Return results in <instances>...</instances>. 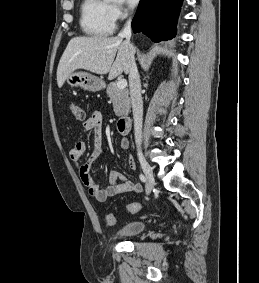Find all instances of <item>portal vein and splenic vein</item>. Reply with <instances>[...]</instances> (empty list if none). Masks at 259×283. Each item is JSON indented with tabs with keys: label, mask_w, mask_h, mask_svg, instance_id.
<instances>
[{
	"label": "portal vein and splenic vein",
	"mask_w": 259,
	"mask_h": 283,
	"mask_svg": "<svg viewBox=\"0 0 259 283\" xmlns=\"http://www.w3.org/2000/svg\"><path fill=\"white\" fill-rule=\"evenodd\" d=\"M117 87L119 89H124L127 86V81L125 79H120L117 83H116Z\"/></svg>",
	"instance_id": "18ae733b"
}]
</instances>
